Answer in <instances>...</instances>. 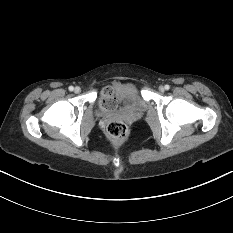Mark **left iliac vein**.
Returning a JSON list of instances; mask_svg holds the SVG:
<instances>
[{
	"instance_id": "1",
	"label": "left iliac vein",
	"mask_w": 233,
	"mask_h": 233,
	"mask_svg": "<svg viewBox=\"0 0 233 233\" xmlns=\"http://www.w3.org/2000/svg\"><path fill=\"white\" fill-rule=\"evenodd\" d=\"M159 91L160 92H164L165 91V88L163 86H159Z\"/></svg>"
}]
</instances>
